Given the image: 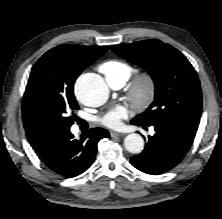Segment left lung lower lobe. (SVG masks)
Masks as SVG:
<instances>
[{
  "mask_svg": "<svg viewBox=\"0 0 222 219\" xmlns=\"http://www.w3.org/2000/svg\"><path fill=\"white\" fill-rule=\"evenodd\" d=\"M137 126H147L134 121ZM155 135L148 137L145 149L130 159L131 164L147 174H161L174 168L190 149L197 129L168 120L153 124Z\"/></svg>",
  "mask_w": 222,
  "mask_h": 219,
  "instance_id": "0a47b994",
  "label": "left lung lower lobe"
}]
</instances>
